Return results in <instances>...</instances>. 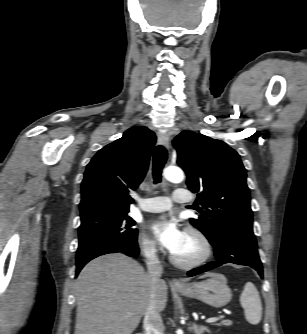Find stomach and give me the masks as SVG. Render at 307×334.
<instances>
[{"instance_id":"1","label":"stomach","mask_w":307,"mask_h":334,"mask_svg":"<svg viewBox=\"0 0 307 334\" xmlns=\"http://www.w3.org/2000/svg\"><path fill=\"white\" fill-rule=\"evenodd\" d=\"M177 291L186 297L200 300L216 308L225 306L232 298L227 279L217 273H212L207 279L191 283L188 287L177 289Z\"/></svg>"}]
</instances>
